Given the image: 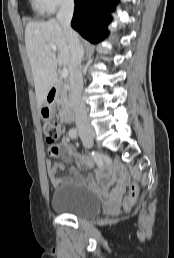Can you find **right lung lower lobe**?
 <instances>
[{
  "label": "right lung lower lobe",
  "instance_id": "1",
  "mask_svg": "<svg viewBox=\"0 0 174 258\" xmlns=\"http://www.w3.org/2000/svg\"><path fill=\"white\" fill-rule=\"evenodd\" d=\"M75 11L71 26L91 43H98L108 36L110 13L118 0H74Z\"/></svg>",
  "mask_w": 174,
  "mask_h": 258
}]
</instances>
